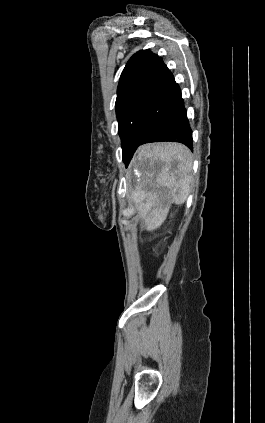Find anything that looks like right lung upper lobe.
I'll return each mask as SVG.
<instances>
[{
	"label": "right lung upper lobe",
	"instance_id": "right-lung-upper-lobe-1",
	"mask_svg": "<svg viewBox=\"0 0 265 423\" xmlns=\"http://www.w3.org/2000/svg\"><path fill=\"white\" fill-rule=\"evenodd\" d=\"M158 55L141 50L127 62L118 85L117 101L135 94L150 93L168 73Z\"/></svg>",
	"mask_w": 265,
	"mask_h": 423
}]
</instances>
